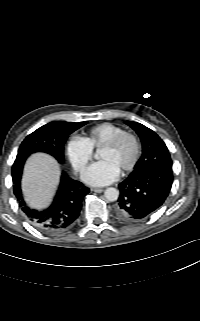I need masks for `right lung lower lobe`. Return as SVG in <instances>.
Segmentation results:
<instances>
[{"label":"right lung lower lobe","instance_id":"right-lung-lower-lobe-1","mask_svg":"<svg viewBox=\"0 0 200 321\" xmlns=\"http://www.w3.org/2000/svg\"><path fill=\"white\" fill-rule=\"evenodd\" d=\"M26 159L27 157L17 158L12 166L13 189L19 207L42 231L52 233L67 229L78 218L82 200L89 193V189L62 171L61 181L50 207L43 211L32 209L25 203L21 192V176Z\"/></svg>","mask_w":200,"mask_h":321}]
</instances>
